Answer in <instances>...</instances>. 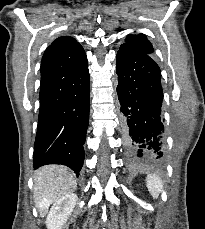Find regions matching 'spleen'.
<instances>
[{"instance_id": "spleen-1", "label": "spleen", "mask_w": 205, "mask_h": 229, "mask_svg": "<svg viewBox=\"0 0 205 229\" xmlns=\"http://www.w3.org/2000/svg\"><path fill=\"white\" fill-rule=\"evenodd\" d=\"M146 185H147V188L150 194L153 196V198H157L163 189L162 180L158 176H155V175L147 176Z\"/></svg>"}]
</instances>
